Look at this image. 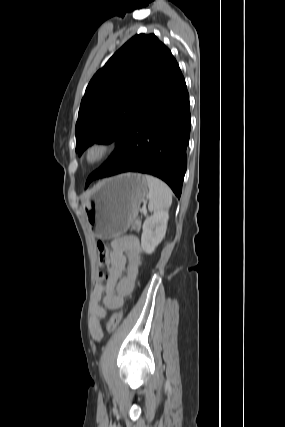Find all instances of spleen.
Masks as SVG:
<instances>
[{"mask_svg":"<svg viewBox=\"0 0 285 427\" xmlns=\"http://www.w3.org/2000/svg\"><path fill=\"white\" fill-rule=\"evenodd\" d=\"M145 179L149 188V211L157 213L169 209L172 204L170 188L163 181L153 176L145 175Z\"/></svg>","mask_w":285,"mask_h":427,"instance_id":"spleen-1","label":"spleen"}]
</instances>
